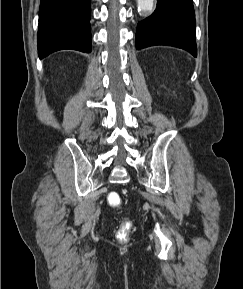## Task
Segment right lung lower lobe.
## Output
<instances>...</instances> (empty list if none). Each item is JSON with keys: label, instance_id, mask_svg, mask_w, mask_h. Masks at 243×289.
<instances>
[{"label": "right lung lower lobe", "instance_id": "right-lung-lower-lobe-1", "mask_svg": "<svg viewBox=\"0 0 243 289\" xmlns=\"http://www.w3.org/2000/svg\"><path fill=\"white\" fill-rule=\"evenodd\" d=\"M90 0H41L38 54L64 49L91 51Z\"/></svg>", "mask_w": 243, "mask_h": 289}]
</instances>
